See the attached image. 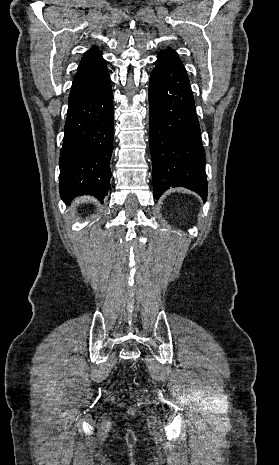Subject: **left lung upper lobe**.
I'll use <instances>...</instances> for the list:
<instances>
[{
  "mask_svg": "<svg viewBox=\"0 0 279 465\" xmlns=\"http://www.w3.org/2000/svg\"><path fill=\"white\" fill-rule=\"evenodd\" d=\"M160 52H172V53H176L175 51H172L170 48H168V50H162Z\"/></svg>",
  "mask_w": 279,
  "mask_h": 465,
  "instance_id": "obj_1",
  "label": "left lung upper lobe"
}]
</instances>
